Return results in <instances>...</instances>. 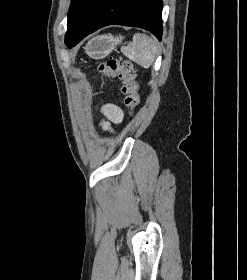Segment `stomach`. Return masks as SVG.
Masks as SVG:
<instances>
[{"label":"stomach","instance_id":"0dacf381","mask_svg":"<svg viewBox=\"0 0 247 280\" xmlns=\"http://www.w3.org/2000/svg\"><path fill=\"white\" fill-rule=\"evenodd\" d=\"M123 36L100 35L92 38L85 46L86 53L94 59L108 56L117 45L121 44Z\"/></svg>","mask_w":247,"mask_h":280}]
</instances>
